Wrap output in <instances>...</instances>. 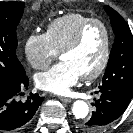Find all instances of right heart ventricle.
<instances>
[{"mask_svg": "<svg viewBox=\"0 0 133 133\" xmlns=\"http://www.w3.org/2000/svg\"><path fill=\"white\" fill-rule=\"evenodd\" d=\"M91 19L77 12L67 13L51 21L46 29V35L57 52L72 39L80 26Z\"/></svg>", "mask_w": 133, "mask_h": 133, "instance_id": "e07e8e85", "label": "right heart ventricle"}]
</instances>
